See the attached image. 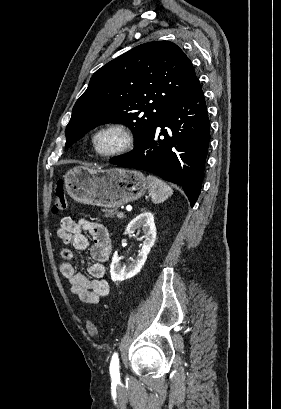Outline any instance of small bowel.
Here are the masks:
<instances>
[{"mask_svg":"<svg viewBox=\"0 0 281 409\" xmlns=\"http://www.w3.org/2000/svg\"><path fill=\"white\" fill-rule=\"evenodd\" d=\"M84 232L90 235V239ZM57 236L63 243L71 244L74 249L88 252L87 274L76 271L71 263L74 258L72 249L63 248L60 252L63 259L60 271L70 284L71 294L84 303H98L110 291L104 278V263L109 259L112 247L107 229L102 224L86 218L75 221L71 217H63L57 229Z\"/></svg>","mask_w":281,"mask_h":409,"instance_id":"obj_1","label":"small bowel"}]
</instances>
